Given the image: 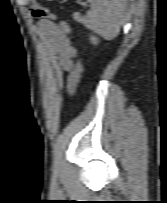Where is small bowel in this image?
I'll return each instance as SVG.
<instances>
[{"instance_id": "c3829d8e", "label": "small bowel", "mask_w": 167, "mask_h": 203, "mask_svg": "<svg viewBox=\"0 0 167 203\" xmlns=\"http://www.w3.org/2000/svg\"><path fill=\"white\" fill-rule=\"evenodd\" d=\"M37 27L53 61L66 72L71 71L73 68L72 59L76 55V50L66 35L67 26L43 19L38 22Z\"/></svg>"}]
</instances>
